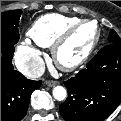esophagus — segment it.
Masks as SVG:
<instances>
[{"instance_id": "1", "label": "esophagus", "mask_w": 121, "mask_h": 121, "mask_svg": "<svg viewBox=\"0 0 121 121\" xmlns=\"http://www.w3.org/2000/svg\"><path fill=\"white\" fill-rule=\"evenodd\" d=\"M58 83H59L58 81H54V80L46 81V85L49 87L56 86Z\"/></svg>"}]
</instances>
